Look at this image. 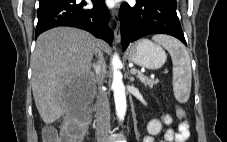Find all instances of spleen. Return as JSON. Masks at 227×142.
<instances>
[{
	"label": "spleen",
	"mask_w": 227,
	"mask_h": 142,
	"mask_svg": "<svg viewBox=\"0 0 227 142\" xmlns=\"http://www.w3.org/2000/svg\"><path fill=\"white\" fill-rule=\"evenodd\" d=\"M171 55L173 63V91L180 103L188 101L191 92V63L185 46L172 36L158 34L152 37Z\"/></svg>",
	"instance_id": "1"
}]
</instances>
